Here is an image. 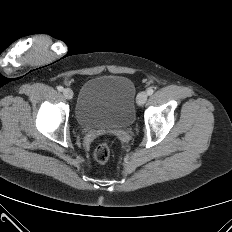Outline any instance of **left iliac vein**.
Wrapping results in <instances>:
<instances>
[{
	"label": "left iliac vein",
	"instance_id": "left-iliac-vein-1",
	"mask_svg": "<svg viewBox=\"0 0 232 232\" xmlns=\"http://www.w3.org/2000/svg\"><path fill=\"white\" fill-rule=\"evenodd\" d=\"M146 101H147V93L145 91L140 92L137 95V104L139 106H142L146 103Z\"/></svg>",
	"mask_w": 232,
	"mask_h": 232
}]
</instances>
